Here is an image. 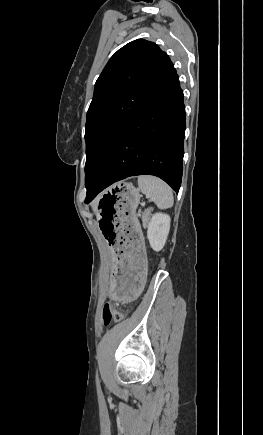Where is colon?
Returning a JSON list of instances; mask_svg holds the SVG:
<instances>
[{
  "instance_id": "1",
  "label": "colon",
  "mask_w": 263,
  "mask_h": 435,
  "mask_svg": "<svg viewBox=\"0 0 263 435\" xmlns=\"http://www.w3.org/2000/svg\"><path fill=\"white\" fill-rule=\"evenodd\" d=\"M122 317L121 308L115 304H105L102 309V321L104 325H108L111 321H119Z\"/></svg>"
}]
</instances>
